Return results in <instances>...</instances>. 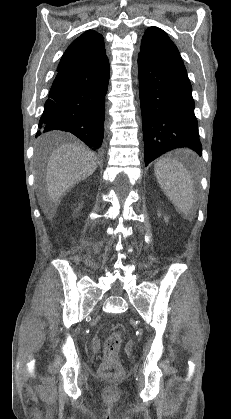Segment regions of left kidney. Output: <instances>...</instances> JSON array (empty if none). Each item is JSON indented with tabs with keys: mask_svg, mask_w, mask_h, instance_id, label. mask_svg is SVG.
Segmentation results:
<instances>
[{
	"mask_svg": "<svg viewBox=\"0 0 231 419\" xmlns=\"http://www.w3.org/2000/svg\"><path fill=\"white\" fill-rule=\"evenodd\" d=\"M158 216H161V214H158ZM165 221L167 222L168 221V218L165 217Z\"/></svg>",
	"mask_w": 231,
	"mask_h": 419,
	"instance_id": "5707ae66",
	"label": "left kidney"
}]
</instances>
